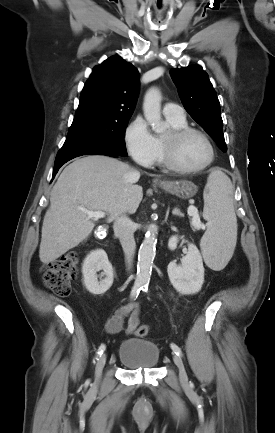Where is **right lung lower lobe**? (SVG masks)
Returning <instances> with one entry per match:
<instances>
[{
	"mask_svg": "<svg viewBox=\"0 0 275 433\" xmlns=\"http://www.w3.org/2000/svg\"><path fill=\"white\" fill-rule=\"evenodd\" d=\"M96 154L106 155V156H111V157H117V155H115V154H111V153H96ZM74 158H75V157H74ZM71 159H73V158H67V159H63V160H60V161L55 162V167H54V170H53V177H52V179L55 177V175H56V173L58 172L59 168H60L63 164H65L67 161H69V160H71Z\"/></svg>",
	"mask_w": 275,
	"mask_h": 433,
	"instance_id": "1",
	"label": "right lung lower lobe"
}]
</instances>
